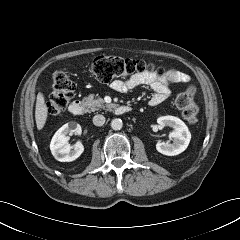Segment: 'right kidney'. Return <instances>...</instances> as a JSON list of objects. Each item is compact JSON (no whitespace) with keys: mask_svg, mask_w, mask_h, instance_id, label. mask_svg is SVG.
Masks as SVG:
<instances>
[{"mask_svg":"<svg viewBox=\"0 0 240 240\" xmlns=\"http://www.w3.org/2000/svg\"><path fill=\"white\" fill-rule=\"evenodd\" d=\"M81 132V126L75 122L67 123L57 130L50 143V150L56 160L71 162L83 153L84 146L81 142H77L74 146L68 143V135H80Z\"/></svg>","mask_w":240,"mask_h":240,"instance_id":"obj_1","label":"right kidney"}]
</instances>
